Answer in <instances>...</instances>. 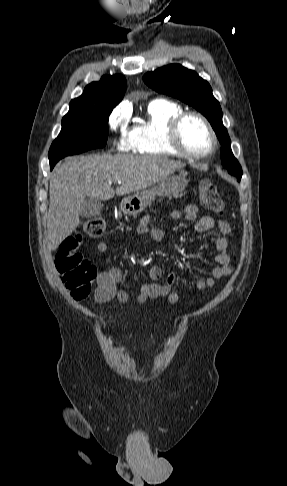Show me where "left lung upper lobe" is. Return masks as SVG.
<instances>
[{
    "label": "left lung upper lobe",
    "mask_w": 287,
    "mask_h": 486,
    "mask_svg": "<svg viewBox=\"0 0 287 486\" xmlns=\"http://www.w3.org/2000/svg\"><path fill=\"white\" fill-rule=\"evenodd\" d=\"M144 82L155 91L173 96L201 112L211 123L221 148V162L228 172L240 181L242 168L231 150V141L222 123V110L212 94V88L199 75L180 64H170L143 76Z\"/></svg>",
    "instance_id": "5c2ea615"
}]
</instances>
